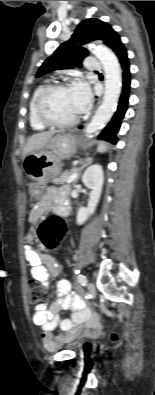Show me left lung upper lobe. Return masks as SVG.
I'll return each mask as SVG.
<instances>
[{
	"label": "left lung upper lobe",
	"mask_w": 155,
	"mask_h": 395,
	"mask_svg": "<svg viewBox=\"0 0 155 395\" xmlns=\"http://www.w3.org/2000/svg\"><path fill=\"white\" fill-rule=\"evenodd\" d=\"M102 40L104 44L113 49L120 59L127 54L120 36L113 28L95 18L82 21L75 29L72 38L62 43L56 51L48 57L40 66L36 77H40L48 72L59 69H69L74 66H81L82 60L88 55V50L82 45L93 41Z\"/></svg>",
	"instance_id": "1"
}]
</instances>
